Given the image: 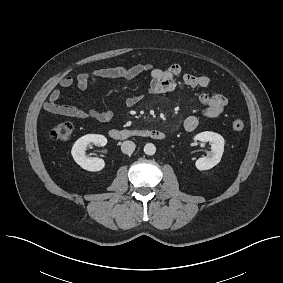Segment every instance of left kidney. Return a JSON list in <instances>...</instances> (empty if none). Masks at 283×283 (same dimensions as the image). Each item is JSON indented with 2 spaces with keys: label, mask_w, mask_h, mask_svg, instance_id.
Returning <instances> with one entry per match:
<instances>
[{
  "label": "left kidney",
  "mask_w": 283,
  "mask_h": 283,
  "mask_svg": "<svg viewBox=\"0 0 283 283\" xmlns=\"http://www.w3.org/2000/svg\"><path fill=\"white\" fill-rule=\"evenodd\" d=\"M194 139L202 142H210L211 144V151L207 156L201 157L196 161V168L203 171L216 166L220 162L224 152V138L218 133L205 131L197 134Z\"/></svg>",
  "instance_id": "1"
}]
</instances>
